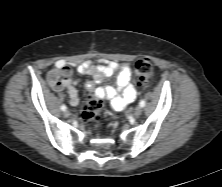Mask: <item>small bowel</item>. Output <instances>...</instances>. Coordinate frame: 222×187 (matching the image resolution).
<instances>
[{
    "label": "small bowel",
    "instance_id": "obj_1",
    "mask_svg": "<svg viewBox=\"0 0 222 187\" xmlns=\"http://www.w3.org/2000/svg\"><path fill=\"white\" fill-rule=\"evenodd\" d=\"M76 69L81 74L93 76V79L86 83L87 90L96 97L109 101L116 111L123 110L137 98V91L131 84L132 68L128 63L98 59L97 64L85 61L77 65ZM115 72L118 73L116 86H96ZM47 81L55 91L67 90L72 106L79 103V93L76 89L79 80L71 78V70L65 61L59 60L55 63L54 68L47 74Z\"/></svg>",
    "mask_w": 222,
    "mask_h": 187
}]
</instances>
